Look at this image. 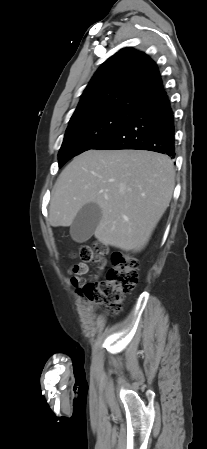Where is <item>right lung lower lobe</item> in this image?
<instances>
[{"instance_id": "right-lung-lower-lobe-1", "label": "right lung lower lobe", "mask_w": 207, "mask_h": 449, "mask_svg": "<svg viewBox=\"0 0 207 449\" xmlns=\"http://www.w3.org/2000/svg\"><path fill=\"white\" fill-rule=\"evenodd\" d=\"M92 149L149 150L175 157L174 113L168 95L138 109L127 122Z\"/></svg>"}]
</instances>
